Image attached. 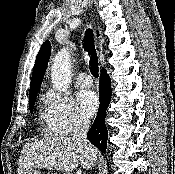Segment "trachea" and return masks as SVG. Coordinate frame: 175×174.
Instances as JSON below:
<instances>
[{
    "label": "trachea",
    "mask_w": 175,
    "mask_h": 174,
    "mask_svg": "<svg viewBox=\"0 0 175 174\" xmlns=\"http://www.w3.org/2000/svg\"><path fill=\"white\" fill-rule=\"evenodd\" d=\"M83 47L84 50L88 52V55L90 56L89 64L91 74L94 77H98V58L94 45L93 32L91 29H87L86 31Z\"/></svg>",
    "instance_id": "1"
}]
</instances>
